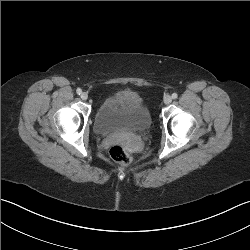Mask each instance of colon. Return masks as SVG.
Returning <instances> with one entry per match:
<instances>
[{
	"mask_svg": "<svg viewBox=\"0 0 250 250\" xmlns=\"http://www.w3.org/2000/svg\"><path fill=\"white\" fill-rule=\"evenodd\" d=\"M109 155L114 161L120 163L123 166H129L132 163L131 155L121 144H113L109 148Z\"/></svg>",
	"mask_w": 250,
	"mask_h": 250,
	"instance_id": "obj_1",
	"label": "colon"
}]
</instances>
